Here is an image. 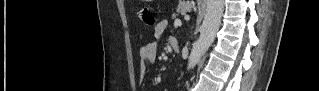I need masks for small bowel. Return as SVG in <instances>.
Listing matches in <instances>:
<instances>
[{
    "label": "small bowel",
    "mask_w": 319,
    "mask_h": 91,
    "mask_svg": "<svg viewBox=\"0 0 319 91\" xmlns=\"http://www.w3.org/2000/svg\"><path fill=\"white\" fill-rule=\"evenodd\" d=\"M168 27V21L162 19L157 22L153 29V40L144 44L139 50L140 74L144 76L148 64H154L157 60V42L156 40L164 33Z\"/></svg>",
    "instance_id": "obj_1"
}]
</instances>
